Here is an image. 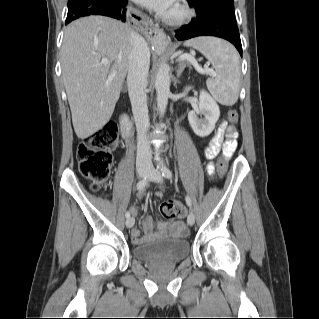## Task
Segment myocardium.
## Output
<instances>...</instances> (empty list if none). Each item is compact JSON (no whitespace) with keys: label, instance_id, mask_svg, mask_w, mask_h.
Segmentation results:
<instances>
[{"label":"myocardium","instance_id":"1","mask_svg":"<svg viewBox=\"0 0 319 319\" xmlns=\"http://www.w3.org/2000/svg\"><path fill=\"white\" fill-rule=\"evenodd\" d=\"M175 7V13L166 14L163 17V21L165 23L169 25H180L186 22L192 16V10L183 0H177Z\"/></svg>","mask_w":319,"mask_h":319}]
</instances>
